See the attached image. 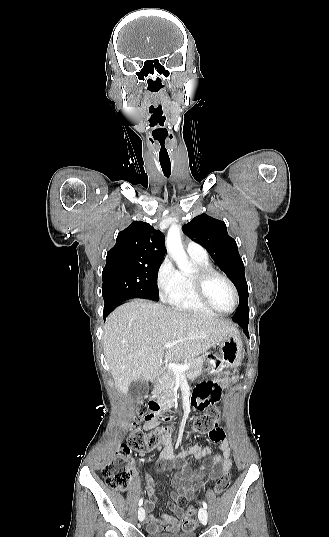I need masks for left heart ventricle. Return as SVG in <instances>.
Instances as JSON below:
<instances>
[{
    "mask_svg": "<svg viewBox=\"0 0 329 537\" xmlns=\"http://www.w3.org/2000/svg\"><path fill=\"white\" fill-rule=\"evenodd\" d=\"M210 302L219 310L228 312L233 308L234 297L230 287L220 278H212L206 285Z\"/></svg>",
    "mask_w": 329,
    "mask_h": 537,
    "instance_id": "left-heart-ventricle-1",
    "label": "left heart ventricle"
}]
</instances>
